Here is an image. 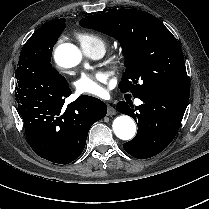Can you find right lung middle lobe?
<instances>
[{
  "label": "right lung middle lobe",
  "instance_id": "1",
  "mask_svg": "<svg viewBox=\"0 0 209 209\" xmlns=\"http://www.w3.org/2000/svg\"><path fill=\"white\" fill-rule=\"evenodd\" d=\"M65 29V19H58L44 24L24 44L15 71L16 79L25 75H36L60 83H67L50 63L52 50Z\"/></svg>",
  "mask_w": 209,
  "mask_h": 209
}]
</instances>
